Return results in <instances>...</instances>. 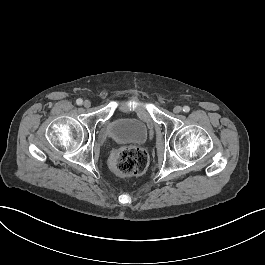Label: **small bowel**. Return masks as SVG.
Masks as SVG:
<instances>
[{
    "mask_svg": "<svg viewBox=\"0 0 265 265\" xmlns=\"http://www.w3.org/2000/svg\"><path fill=\"white\" fill-rule=\"evenodd\" d=\"M117 106L123 111V112H129L130 110L135 109L141 114V117L144 120H147L150 117L149 109L142 105L140 102H138L136 99H133L131 101H128L127 103L123 100H120L117 103Z\"/></svg>",
    "mask_w": 265,
    "mask_h": 265,
    "instance_id": "c3829d8e",
    "label": "small bowel"
}]
</instances>
